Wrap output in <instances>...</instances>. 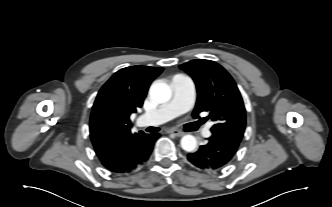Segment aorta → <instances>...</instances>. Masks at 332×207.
Segmentation results:
<instances>
[{
	"instance_id": "aorta-1",
	"label": "aorta",
	"mask_w": 332,
	"mask_h": 207,
	"mask_svg": "<svg viewBox=\"0 0 332 207\" xmlns=\"http://www.w3.org/2000/svg\"><path fill=\"white\" fill-rule=\"evenodd\" d=\"M150 98L157 103H166L172 96L171 88L163 82H155L149 89ZM181 147L187 152H192L197 147V140L192 135H185L181 139Z\"/></svg>"
}]
</instances>
